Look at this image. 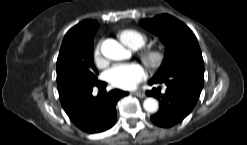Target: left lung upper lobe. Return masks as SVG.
<instances>
[{"label":"left lung upper lobe","mask_w":247,"mask_h":145,"mask_svg":"<svg viewBox=\"0 0 247 145\" xmlns=\"http://www.w3.org/2000/svg\"><path fill=\"white\" fill-rule=\"evenodd\" d=\"M141 25L159 36L166 45L164 61L153 79H162L175 73L204 76V62L198 41L183 22L162 14L142 20Z\"/></svg>","instance_id":"obj_1"}]
</instances>
